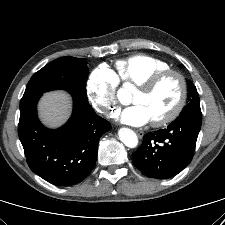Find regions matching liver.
I'll list each match as a JSON object with an SVG mask.
<instances>
[{
	"label": "liver",
	"instance_id": "6515ba94",
	"mask_svg": "<svg viewBox=\"0 0 225 225\" xmlns=\"http://www.w3.org/2000/svg\"><path fill=\"white\" fill-rule=\"evenodd\" d=\"M39 117L42 122L51 127L61 126L71 112V97L64 91L45 93L39 102Z\"/></svg>",
	"mask_w": 225,
	"mask_h": 225
}]
</instances>
